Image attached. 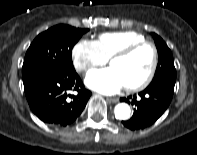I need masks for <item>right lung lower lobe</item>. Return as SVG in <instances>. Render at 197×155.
I'll use <instances>...</instances> for the list:
<instances>
[{"mask_svg": "<svg viewBox=\"0 0 197 155\" xmlns=\"http://www.w3.org/2000/svg\"><path fill=\"white\" fill-rule=\"evenodd\" d=\"M69 90H76L78 94L72 96ZM25 95L39 119L54 126H67L81 114L91 92L84 88L77 73L71 71L43 78L25 89Z\"/></svg>", "mask_w": 197, "mask_h": 155, "instance_id": "obj_1", "label": "right lung lower lobe"}]
</instances>
